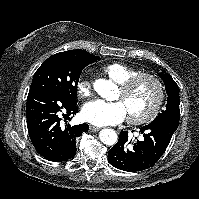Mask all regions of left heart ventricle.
<instances>
[{"mask_svg": "<svg viewBox=\"0 0 199 199\" xmlns=\"http://www.w3.org/2000/svg\"><path fill=\"white\" fill-rule=\"evenodd\" d=\"M155 97V88L150 81H142L132 90L123 93L120 89L116 99L120 100L128 115L138 116L148 111Z\"/></svg>", "mask_w": 199, "mask_h": 199, "instance_id": "left-heart-ventricle-1", "label": "left heart ventricle"}]
</instances>
